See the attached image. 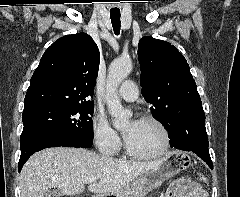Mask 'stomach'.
Here are the masks:
<instances>
[{
    "instance_id": "1",
    "label": "stomach",
    "mask_w": 240,
    "mask_h": 197,
    "mask_svg": "<svg viewBox=\"0 0 240 197\" xmlns=\"http://www.w3.org/2000/svg\"><path fill=\"white\" fill-rule=\"evenodd\" d=\"M191 165L188 154L173 151L167 154L159 166L127 183L118 192L108 197H145L150 191L159 188L164 181Z\"/></svg>"
}]
</instances>
